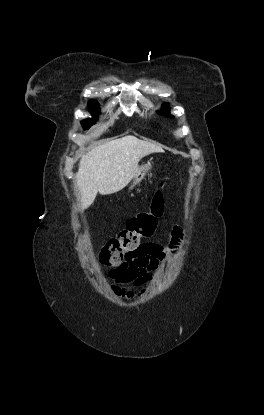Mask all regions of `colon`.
I'll return each mask as SVG.
<instances>
[{"instance_id": "5ec220e1", "label": "colon", "mask_w": 264, "mask_h": 415, "mask_svg": "<svg viewBox=\"0 0 264 415\" xmlns=\"http://www.w3.org/2000/svg\"><path fill=\"white\" fill-rule=\"evenodd\" d=\"M163 212L164 196L158 190L154 193L149 208L132 217L117 236L105 243L99 256L100 265L123 269L135 257L142 244L153 237Z\"/></svg>"}]
</instances>
